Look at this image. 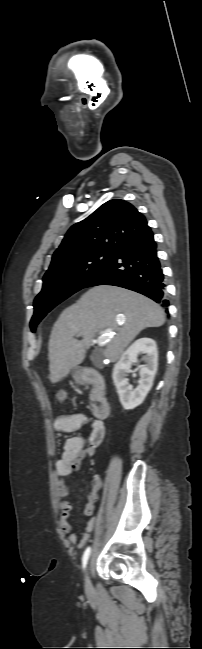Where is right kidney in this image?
I'll return each instance as SVG.
<instances>
[{
	"label": "right kidney",
	"mask_w": 202,
	"mask_h": 649,
	"mask_svg": "<svg viewBox=\"0 0 202 649\" xmlns=\"http://www.w3.org/2000/svg\"><path fill=\"white\" fill-rule=\"evenodd\" d=\"M139 354H145V365L140 367V383L136 389L129 385L127 373ZM158 367L157 346L153 339L142 337L134 341L122 354L115 364L112 378L116 386L120 402L124 409L129 410L139 406L151 390Z\"/></svg>",
	"instance_id": "obj_1"
}]
</instances>
